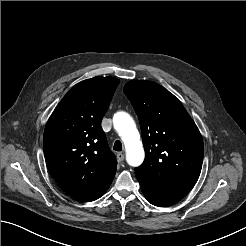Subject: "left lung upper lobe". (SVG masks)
<instances>
[{
    "label": "left lung upper lobe",
    "mask_w": 246,
    "mask_h": 246,
    "mask_svg": "<svg viewBox=\"0 0 246 246\" xmlns=\"http://www.w3.org/2000/svg\"><path fill=\"white\" fill-rule=\"evenodd\" d=\"M124 92L138 115L145 149L135 174L191 190L201 172L204 146L182 103L161 85L145 80L129 81Z\"/></svg>",
    "instance_id": "obj_1"
}]
</instances>
